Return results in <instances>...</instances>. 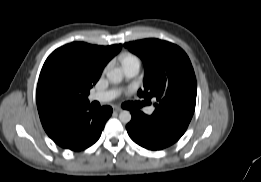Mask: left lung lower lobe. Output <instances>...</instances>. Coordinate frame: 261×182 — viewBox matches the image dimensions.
Segmentation results:
<instances>
[{"mask_svg":"<svg viewBox=\"0 0 261 182\" xmlns=\"http://www.w3.org/2000/svg\"><path fill=\"white\" fill-rule=\"evenodd\" d=\"M132 119L126 125L131 139L150 150L164 149L180 139L189 123L161 117L148 116L141 111H131Z\"/></svg>","mask_w":261,"mask_h":182,"instance_id":"1","label":"left lung lower lobe"}]
</instances>
